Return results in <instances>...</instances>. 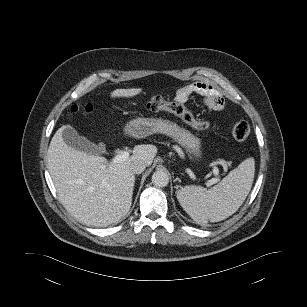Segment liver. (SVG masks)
Wrapping results in <instances>:
<instances>
[{
	"instance_id": "obj_1",
	"label": "liver",
	"mask_w": 307,
	"mask_h": 307,
	"mask_svg": "<svg viewBox=\"0 0 307 307\" xmlns=\"http://www.w3.org/2000/svg\"><path fill=\"white\" fill-rule=\"evenodd\" d=\"M141 92V88L116 89L111 98H130ZM63 127L56 131L47 151L48 169L60 202L86 225L105 227L118 222L132 204L135 176L130 166L135 161L150 166L156 146L136 145L126 161L109 163L104 157L68 146L62 137Z\"/></svg>"
}]
</instances>
